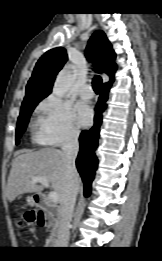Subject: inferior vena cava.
<instances>
[{"instance_id": "obj_1", "label": "inferior vena cava", "mask_w": 162, "mask_h": 261, "mask_svg": "<svg viewBox=\"0 0 162 261\" xmlns=\"http://www.w3.org/2000/svg\"><path fill=\"white\" fill-rule=\"evenodd\" d=\"M78 137L79 133H73L62 145L66 166V183L58 211L60 220V235L58 239L59 247H67L68 245L69 228L78 193V173L75 167V160L79 151Z\"/></svg>"}]
</instances>
